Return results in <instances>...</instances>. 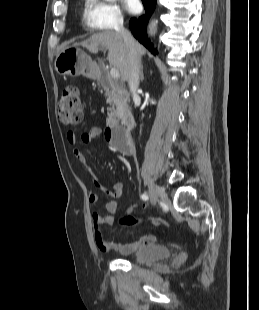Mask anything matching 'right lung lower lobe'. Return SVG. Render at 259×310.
<instances>
[{
    "label": "right lung lower lobe",
    "mask_w": 259,
    "mask_h": 310,
    "mask_svg": "<svg viewBox=\"0 0 259 310\" xmlns=\"http://www.w3.org/2000/svg\"><path fill=\"white\" fill-rule=\"evenodd\" d=\"M145 14L138 19L132 18L129 23V27L134 35V37L141 42L151 53L156 54L153 44L148 41L146 34V26L150 16L152 15L156 0H142Z\"/></svg>",
    "instance_id": "right-lung-lower-lobe-1"
}]
</instances>
